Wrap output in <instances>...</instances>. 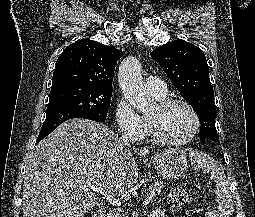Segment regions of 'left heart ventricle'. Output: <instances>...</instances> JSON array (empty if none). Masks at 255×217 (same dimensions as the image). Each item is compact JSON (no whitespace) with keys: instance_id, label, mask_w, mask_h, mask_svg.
I'll return each instance as SVG.
<instances>
[{"instance_id":"1","label":"left heart ventricle","mask_w":255,"mask_h":217,"mask_svg":"<svg viewBox=\"0 0 255 217\" xmlns=\"http://www.w3.org/2000/svg\"><path fill=\"white\" fill-rule=\"evenodd\" d=\"M166 138L180 140L188 137L194 128L191 112L182 104H174L164 111L156 106L148 115Z\"/></svg>"}]
</instances>
